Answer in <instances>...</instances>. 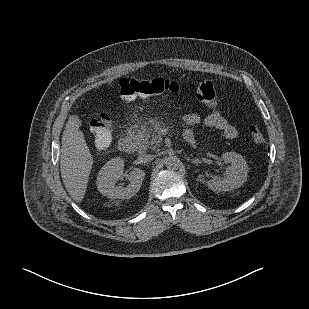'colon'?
<instances>
[{"label":"colon","mask_w":309,"mask_h":309,"mask_svg":"<svg viewBox=\"0 0 309 309\" xmlns=\"http://www.w3.org/2000/svg\"><path fill=\"white\" fill-rule=\"evenodd\" d=\"M120 96L125 101H133L139 98H146L151 95L163 93L179 94L180 86L173 81L163 78L152 80H136L122 78L118 82ZM195 98L210 109L217 105V92L212 82L204 81L192 87ZM89 130L95 137L96 143L101 147L109 145L112 139V120L109 114L102 113L94 117L89 123ZM251 139L260 145L264 137L257 125H250L248 128Z\"/></svg>","instance_id":"obj_1"}]
</instances>
